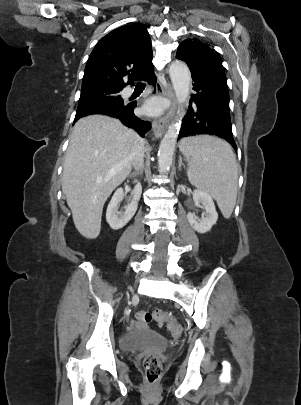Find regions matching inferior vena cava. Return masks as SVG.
Returning <instances> with one entry per match:
<instances>
[{
	"instance_id": "602c4592",
	"label": "inferior vena cava",
	"mask_w": 301,
	"mask_h": 405,
	"mask_svg": "<svg viewBox=\"0 0 301 405\" xmlns=\"http://www.w3.org/2000/svg\"><path fill=\"white\" fill-rule=\"evenodd\" d=\"M144 151H145V141L138 135H136L130 157L132 165L137 171L143 168Z\"/></svg>"
}]
</instances>
